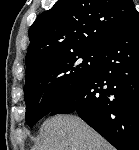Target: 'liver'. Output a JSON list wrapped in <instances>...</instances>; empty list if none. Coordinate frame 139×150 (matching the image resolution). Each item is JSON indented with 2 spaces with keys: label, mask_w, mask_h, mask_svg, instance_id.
Returning a JSON list of instances; mask_svg holds the SVG:
<instances>
[{
  "label": "liver",
  "mask_w": 139,
  "mask_h": 150,
  "mask_svg": "<svg viewBox=\"0 0 139 150\" xmlns=\"http://www.w3.org/2000/svg\"><path fill=\"white\" fill-rule=\"evenodd\" d=\"M34 150H113L104 138L80 118L58 115L46 120Z\"/></svg>",
  "instance_id": "6515ba94"
}]
</instances>
